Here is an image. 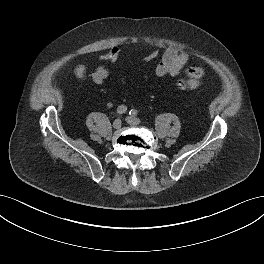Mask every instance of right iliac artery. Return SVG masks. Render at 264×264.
<instances>
[{
    "label": "right iliac artery",
    "mask_w": 264,
    "mask_h": 264,
    "mask_svg": "<svg viewBox=\"0 0 264 264\" xmlns=\"http://www.w3.org/2000/svg\"><path fill=\"white\" fill-rule=\"evenodd\" d=\"M126 111H127V107L124 105H121L117 108V113L120 115L126 113Z\"/></svg>",
    "instance_id": "1"
}]
</instances>
